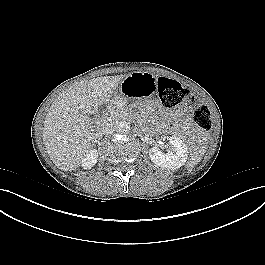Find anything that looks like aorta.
Masks as SVG:
<instances>
[{"mask_svg":"<svg viewBox=\"0 0 265 265\" xmlns=\"http://www.w3.org/2000/svg\"><path fill=\"white\" fill-rule=\"evenodd\" d=\"M117 127L122 132H128L130 130V125L126 121H119L117 123Z\"/></svg>","mask_w":265,"mask_h":265,"instance_id":"obj_1","label":"aorta"}]
</instances>
